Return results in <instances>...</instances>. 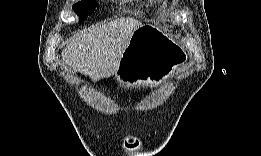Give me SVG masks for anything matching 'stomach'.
I'll return each mask as SVG.
<instances>
[{"label": "stomach", "instance_id": "obj_1", "mask_svg": "<svg viewBox=\"0 0 261 156\" xmlns=\"http://www.w3.org/2000/svg\"><path fill=\"white\" fill-rule=\"evenodd\" d=\"M183 60V53L165 33L141 25L123 52L116 78L126 87H153L167 80L175 64Z\"/></svg>", "mask_w": 261, "mask_h": 156}]
</instances>
